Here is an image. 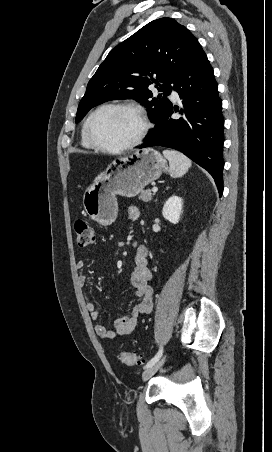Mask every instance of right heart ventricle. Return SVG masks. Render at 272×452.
Masks as SVG:
<instances>
[{
  "mask_svg": "<svg viewBox=\"0 0 272 452\" xmlns=\"http://www.w3.org/2000/svg\"><path fill=\"white\" fill-rule=\"evenodd\" d=\"M85 122L83 123L82 130H81V145L82 147L89 149V150H95L96 148L88 141L85 130H84Z\"/></svg>",
  "mask_w": 272,
  "mask_h": 452,
  "instance_id": "1",
  "label": "right heart ventricle"
}]
</instances>
